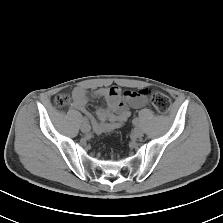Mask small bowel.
Here are the masks:
<instances>
[{
  "mask_svg": "<svg viewBox=\"0 0 223 223\" xmlns=\"http://www.w3.org/2000/svg\"><path fill=\"white\" fill-rule=\"evenodd\" d=\"M147 90L122 92L118 87L98 88L91 93L83 87L73 90L72 107L81 111L85 123H90L93 130L98 133L113 131L124 124L130 117V108L141 109L147 105ZM104 99L106 107L99 108L96 112L99 121L85 108L88 100Z\"/></svg>",
  "mask_w": 223,
  "mask_h": 223,
  "instance_id": "1",
  "label": "small bowel"
}]
</instances>
